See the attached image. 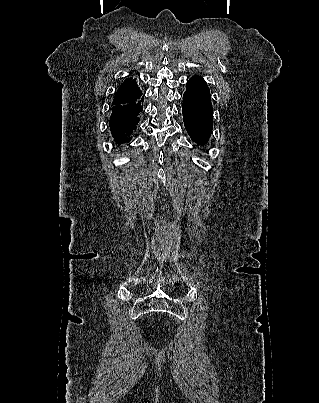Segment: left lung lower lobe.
<instances>
[{
  "mask_svg": "<svg viewBox=\"0 0 319 403\" xmlns=\"http://www.w3.org/2000/svg\"><path fill=\"white\" fill-rule=\"evenodd\" d=\"M185 128L193 142L205 146L212 134L213 108L205 80L193 76L186 84L182 106Z\"/></svg>",
  "mask_w": 319,
  "mask_h": 403,
  "instance_id": "1",
  "label": "left lung lower lobe"
}]
</instances>
